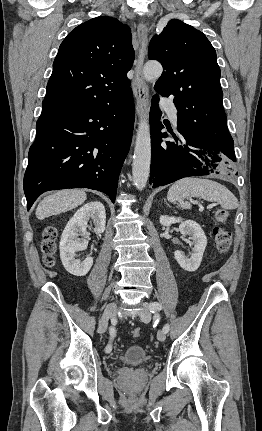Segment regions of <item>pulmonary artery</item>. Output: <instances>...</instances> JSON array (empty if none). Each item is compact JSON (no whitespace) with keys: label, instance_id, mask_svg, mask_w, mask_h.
<instances>
[{"label":"pulmonary artery","instance_id":"obj_1","mask_svg":"<svg viewBox=\"0 0 262 431\" xmlns=\"http://www.w3.org/2000/svg\"><path fill=\"white\" fill-rule=\"evenodd\" d=\"M160 105L168 112V114L170 115L172 122L176 123L177 122V110L174 106V104L172 103L171 99L168 98H164L160 101Z\"/></svg>","mask_w":262,"mask_h":431}]
</instances>
